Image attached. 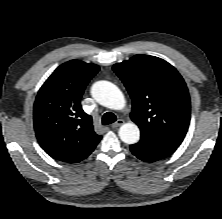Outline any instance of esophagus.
<instances>
[{"instance_id": "1", "label": "esophagus", "mask_w": 222, "mask_h": 219, "mask_svg": "<svg viewBox=\"0 0 222 219\" xmlns=\"http://www.w3.org/2000/svg\"><path fill=\"white\" fill-rule=\"evenodd\" d=\"M122 124H124V120L118 119L115 123H113V124L111 125V127H112V128H117V127L121 126Z\"/></svg>"}]
</instances>
